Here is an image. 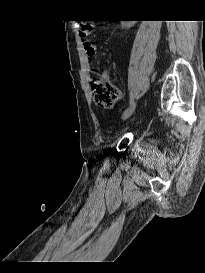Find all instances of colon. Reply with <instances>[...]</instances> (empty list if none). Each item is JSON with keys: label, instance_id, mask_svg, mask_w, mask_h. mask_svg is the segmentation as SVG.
I'll return each instance as SVG.
<instances>
[{"label": "colon", "instance_id": "obj_1", "mask_svg": "<svg viewBox=\"0 0 205 273\" xmlns=\"http://www.w3.org/2000/svg\"><path fill=\"white\" fill-rule=\"evenodd\" d=\"M78 31L81 35H87L91 32V25L84 22L77 23ZM90 86L95 103L103 108L113 107L120 98V90L108 77L93 76L90 80Z\"/></svg>", "mask_w": 205, "mask_h": 273}]
</instances>
